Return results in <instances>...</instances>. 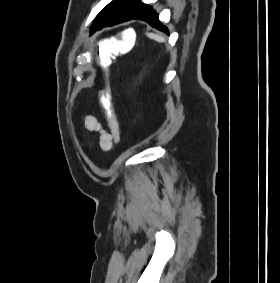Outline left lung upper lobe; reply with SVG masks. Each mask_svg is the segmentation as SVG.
I'll return each instance as SVG.
<instances>
[{
    "instance_id": "5c2ea615",
    "label": "left lung upper lobe",
    "mask_w": 280,
    "mask_h": 283,
    "mask_svg": "<svg viewBox=\"0 0 280 283\" xmlns=\"http://www.w3.org/2000/svg\"><path fill=\"white\" fill-rule=\"evenodd\" d=\"M144 5L141 0H113L96 16L91 26V32H95L100 25L108 20L133 16Z\"/></svg>"
}]
</instances>
